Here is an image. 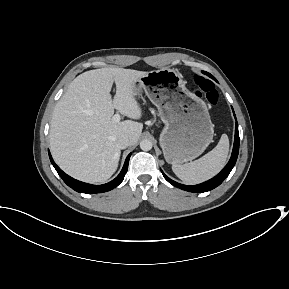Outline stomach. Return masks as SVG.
<instances>
[{"label": "stomach", "instance_id": "obj_1", "mask_svg": "<svg viewBox=\"0 0 289 289\" xmlns=\"http://www.w3.org/2000/svg\"><path fill=\"white\" fill-rule=\"evenodd\" d=\"M145 92L165 124L160 145L166 161L182 164L201 155L212 142L214 125L206 103L185 87L182 75L170 68L153 70L134 84V94Z\"/></svg>", "mask_w": 289, "mask_h": 289}]
</instances>
